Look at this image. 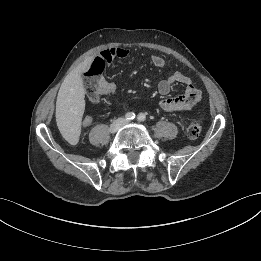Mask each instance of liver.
I'll use <instances>...</instances> for the list:
<instances>
[{"mask_svg":"<svg viewBox=\"0 0 261 261\" xmlns=\"http://www.w3.org/2000/svg\"><path fill=\"white\" fill-rule=\"evenodd\" d=\"M92 58L75 67L64 79L56 101V121L62 133L79 131L85 109V89L81 73L87 71Z\"/></svg>","mask_w":261,"mask_h":261,"instance_id":"liver-1","label":"liver"}]
</instances>
